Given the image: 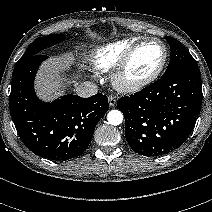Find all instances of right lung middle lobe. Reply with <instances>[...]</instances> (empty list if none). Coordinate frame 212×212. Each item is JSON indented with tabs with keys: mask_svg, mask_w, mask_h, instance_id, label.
<instances>
[{
	"mask_svg": "<svg viewBox=\"0 0 212 212\" xmlns=\"http://www.w3.org/2000/svg\"><path fill=\"white\" fill-rule=\"evenodd\" d=\"M64 40L63 34H50L45 37H39L35 39L27 48L23 56L20 58L18 62L24 61L27 58H30L33 55L39 53L40 50L54 45L56 43L62 42Z\"/></svg>",
	"mask_w": 212,
	"mask_h": 212,
	"instance_id": "1",
	"label": "right lung middle lobe"
}]
</instances>
